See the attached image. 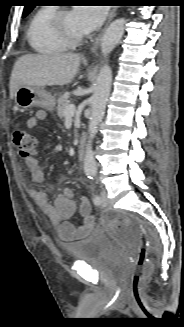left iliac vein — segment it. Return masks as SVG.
<instances>
[{
    "label": "left iliac vein",
    "instance_id": "1",
    "mask_svg": "<svg viewBox=\"0 0 184 327\" xmlns=\"http://www.w3.org/2000/svg\"><path fill=\"white\" fill-rule=\"evenodd\" d=\"M100 198H101V204L103 206H107L109 202L107 198V193L105 191H101Z\"/></svg>",
    "mask_w": 184,
    "mask_h": 327
}]
</instances>
